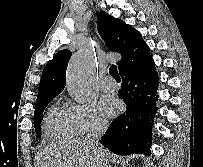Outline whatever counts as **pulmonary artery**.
I'll return each mask as SVG.
<instances>
[{
	"mask_svg": "<svg viewBox=\"0 0 203 167\" xmlns=\"http://www.w3.org/2000/svg\"><path fill=\"white\" fill-rule=\"evenodd\" d=\"M116 86V82L110 76L102 78L99 82V87L103 91H112L116 88Z\"/></svg>",
	"mask_w": 203,
	"mask_h": 167,
	"instance_id": "e3ab8cb5",
	"label": "pulmonary artery"
}]
</instances>
